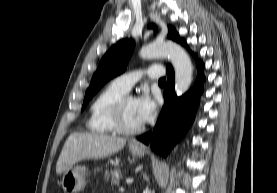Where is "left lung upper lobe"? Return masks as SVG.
<instances>
[{
    "instance_id": "1",
    "label": "left lung upper lobe",
    "mask_w": 277,
    "mask_h": 193,
    "mask_svg": "<svg viewBox=\"0 0 277 193\" xmlns=\"http://www.w3.org/2000/svg\"><path fill=\"white\" fill-rule=\"evenodd\" d=\"M151 28L156 29L154 25H151ZM168 38L180 42L182 45L185 44L184 40H180L179 35L172 26L168 28ZM133 49L134 41L128 39L118 42L109 49L92 77L90 86L85 94L82 110L107 81L125 71Z\"/></svg>"
}]
</instances>
